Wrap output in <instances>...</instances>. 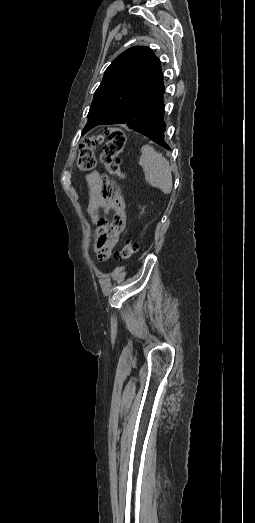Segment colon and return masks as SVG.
Wrapping results in <instances>:
<instances>
[{
  "label": "colon",
  "mask_w": 255,
  "mask_h": 523,
  "mask_svg": "<svg viewBox=\"0 0 255 523\" xmlns=\"http://www.w3.org/2000/svg\"><path fill=\"white\" fill-rule=\"evenodd\" d=\"M105 140L106 142L100 156L101 163L109 174L123 178L124 174L120 166V155L125 146L126 137L124 131L118 127L108 128L102 134H97L83 140L79 145L78 169L82 172H88L95 168V146L103 143ZM136 252V245L127 241L116 256L121 260H129Z\"/></svg>",
  "instance_id": "colon-1"
}]
</instances>
